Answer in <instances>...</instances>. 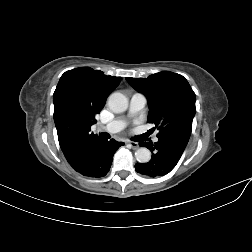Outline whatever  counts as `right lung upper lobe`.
Listing matches in <instances>:
<instances>
[{
	"mask_svg": "<svg viewBox=\"0 0 252 252\" xmlns=\"http://www.w3.org/2000/svg\"><path fill=\"white\" fill-rule=\"evenodd\" d=\"M120 80L89 67L72 69L61 76L53 94V117L65 157L83 142L98 138L90 132L96 123L95 115Z\"/></svg>",
	"mask_w": 252,
	"mask_h": 252,
	"instance_id": "cb5924a9",
	"label": "right lung upper lobe"
}]
</instances>
